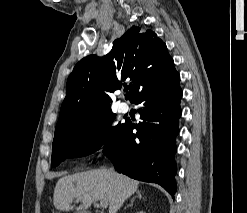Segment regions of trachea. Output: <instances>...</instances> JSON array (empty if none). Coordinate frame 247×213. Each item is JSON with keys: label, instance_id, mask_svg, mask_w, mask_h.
<instances>
[{"label": "trachea", "instance_id": "obj_1", "mask_svg": "<svg viewBox=\"0 0 247 213\" xmlns=\"http://www.w3.org/2000/svg\"><path fill=\"white\" fill-rule=\"evenodd\" d=\"M124 91H125V92H127V91H128V89H127V88H125V89H124Z\"/></svg>", "mask_w": 247, "mask_h": 213}]
</instances>
